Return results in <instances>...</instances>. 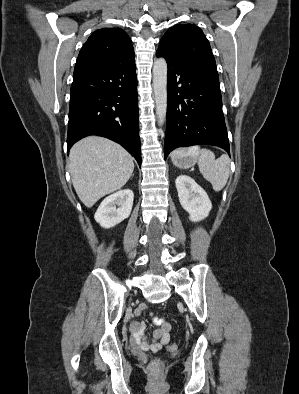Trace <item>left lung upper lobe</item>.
Returning a JSON list of instances; mask_svg holds the SVG:
<instances>
[{"mask_svg": "<svg viewBox=\"0 0 299 394\" xmlns=\"http://www.w3.org/2000/svg\"><path fill=\"white\" fill-rule=\"evenodd\" d=\"M156 54L175 64L216 65L209 41L202 30L193 24L171 27L160 40Z\"/></svg>", "mask_w": 299, "mask_h": 394, "instance_id": "left-lung-upper-lobe-1", "label": "left lung upper lobe"}]
</instances>
